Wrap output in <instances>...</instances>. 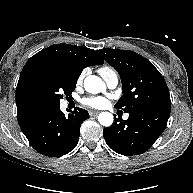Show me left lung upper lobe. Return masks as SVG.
<instances>
[{"label": "left lung upper lobe", "instance_id": "5c2ea615", "mask_svg": "<svg viewBox=\"0 0 193 193\" xmlns=\"http://www.w3.org/2000/svg\"><path fill=\"white\" fill-rule=\"evenodd\" d=\"M97 52L120 74L123 95L116 109L134 113L171 105L166 82L149 60L130 50L105 48Z\"/></svg>", "mask_w": 193, "mask_h": 193}]
</instances>
